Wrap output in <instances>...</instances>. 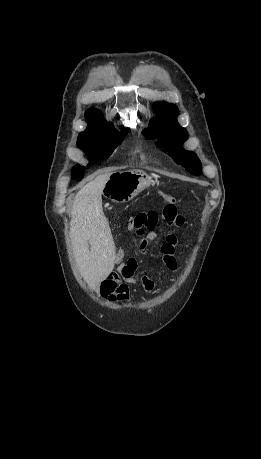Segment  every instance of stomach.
<instances>
[{
  "mask_svg": "<svg viewBox=\"0 0 261 459\" xmlns=\"http://www.w3.org/2000/svg\"><path fill=\"white\" fill-rule=\"evenodd\" d=\"M151 184L154 181L142 170L117 171L109 176L103 194L114 202L126 203Z\"/></svg>",
  "mask_w": 261,
  "mask_h": 459,
  "instance_id": "obj_1",
  "label": "stomach"
}]
</instances>
